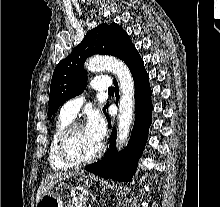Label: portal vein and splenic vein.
I'll return each instance as SVG.
<instances>
[{"label": "portal vein and splenic vein", "mask_w": 220, "mask_h": 207, "mask_svg": "<svg viewBox=\"0 0 220 207\" xmlns=\"http://www.w3.org/2000/svg\"><path fill=\"white\" fill-rule=\"evenodd\" d=\"M80 200L82 201V200H84V198H83V197H80Z\"/></svg>", "instance_id": "18ae733b"}]
</instances>
